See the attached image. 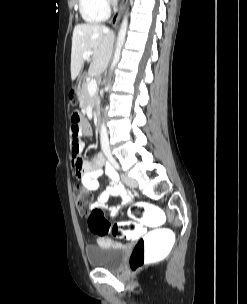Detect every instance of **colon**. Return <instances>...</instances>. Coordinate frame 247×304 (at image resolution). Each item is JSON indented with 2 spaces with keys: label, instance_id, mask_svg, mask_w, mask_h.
I'll return each instance as SVG.
<instances>
[{
  "label": "colon",
  "instance_id": "colon-1",
  "mask_svg": "<svg viewBox=\"0 0 247 304\" xmlns=\"http://www.w3.org/2000/svg\"><path fill=\"white\" fill-rule=\"evenodd\" d=\"M70 100L75 103L73 94ZM92 199L93 196L89 191L75 187V205L81 215L89 217V227L93 233L125 237L126 241H135L139 238L129 260L133 271L142 268L150 259H166V253H170L171 248H175L174 229L172 225H163V221L167 220V215L164 214L159 202H134L130 209L133 220L140 221L141 225H155L154 229H148L146 233V227H141L134 221L109 223L104 219L101 208H91Z\"/></svg>",
  "mask_w": 247,
  "mask_h": 304
}]
</instances>
